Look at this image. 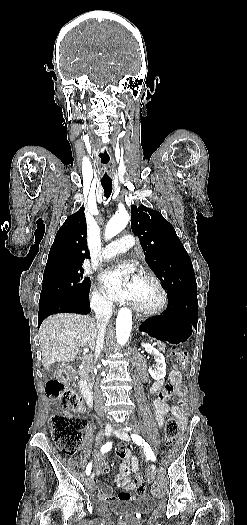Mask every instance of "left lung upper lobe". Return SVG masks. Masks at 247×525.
<instances>
[{"instance_id": "obj_1", "label": "left lung upper lobe", "mask_w": 247, "mask_h": 525, "mask_svg": "<svg viewBox=\"0 0 247 525\" xmlns=\"http://www.w3.org/2000/svg\"><path fill=\"white\" fill-rule=\"evenodd\" d=\"M131 228L139 237L145 261L154 271L169 297L197 294L191 259L174 227L156 210L131 206Z\"/></svg>"}]
</instances>
